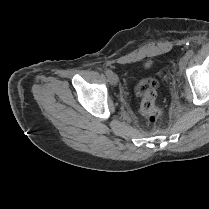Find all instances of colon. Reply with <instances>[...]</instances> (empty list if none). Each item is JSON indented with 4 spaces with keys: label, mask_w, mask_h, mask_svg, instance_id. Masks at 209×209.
I'll use <instances>...</instances> for the list:
<instances>
[{
    "label": "colon",
    "mask_w": 209,
    "mask_h": 209,
    "mask_svg": "<svg viewBox=\"0 0 209 209\" xmlns=\"http://www.w3.org/2000/svg\"><path fill=\"white\" fill-rule=\"evenodd\" d=\"M157 89L158 82L153 78L142 79L136 87V93L141 98L140 112L149 122H156L163 114L157 104Z\"/></svg>",
    "instance_id": "1"
}]
</instances>
